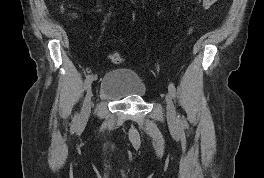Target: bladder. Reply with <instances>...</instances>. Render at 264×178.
Here are the masks:
<instances>
[{
	"instance_id": "obj_1",
	"label": "bladder",
	"mask_w": 264,
	"mask_h": 178,
	"mask_svg": "<svg viewBox=\"0 0 264 178\" xmlns=\"http://www.w3.org/2000/svg\"><path fill=\"white\" fill-rule=\"evenodd\" d=\"M99 94L111 100L143 99L147 94V86L134 70L117 68L102 78Z\"/></svg>"
}]
</instances>
